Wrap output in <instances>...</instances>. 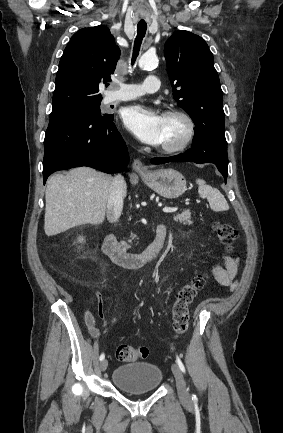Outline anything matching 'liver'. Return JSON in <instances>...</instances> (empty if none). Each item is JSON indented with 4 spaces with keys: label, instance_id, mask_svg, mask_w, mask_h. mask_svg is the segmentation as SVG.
I'll return each instance as SVG.
<instances>
[{
    "label": "liver",
    "instance_id": "liver-1",
    "mask_svg": "<svg viewBox=\"0 0 283 433\" xmlns=\"http://www.w3.org/2000/svg\"><path fill=\"white\" fill-rule=\"evenodd\" d=\"M112 180L110 174L97 172L89 166L50 176L45 192L46 235H58L77 225L103 223ZM123 196H126V184Z\"/></svg>",
    "mask_w": 283,
    "mask_h": 433
}]
</instances>
